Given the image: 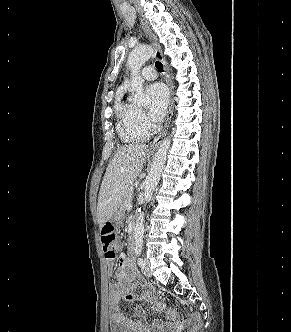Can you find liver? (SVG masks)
<instances>
[{
    "mask_svg": "<svg viewBox=\"0 0 291 332\" xmlns=\"http://www.w3.org/2000/svg\"><path fill=\"white\" fill-rule=\"evenodd\" d=\"M148 157L146 144L125 145L116 152L106 168L98 196L100 229L117 213L123 193L134 183Z\"/></svg>",
    "mask_w": 291,
    "mask_h": 332,
    "instance_id": "6515ba94",
    "label": "liver"
}]
</instances>
